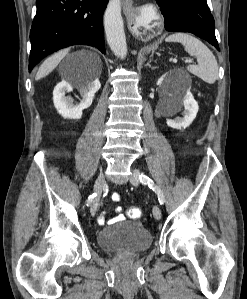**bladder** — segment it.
Returning <instances> with one entry per match:
<instances>
[{"label": "bladder", "instance_id": "obj_1", "mask_svg": "<svg viewBox=\"0 0 247 299\" xmlns=\"http://www.w3.org/2000/svg\"><path fill=\"white\" fill-rule=\"evenodd\" d=\"M101 249L117 253H139L152 245L150 231L141 223L121 221L113 226L102 229L97 235Z\"/></svg>", "mask_w": 247, "mask_h": 299}]
</instances>
